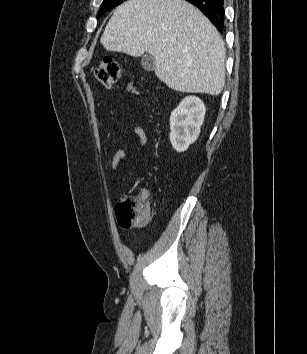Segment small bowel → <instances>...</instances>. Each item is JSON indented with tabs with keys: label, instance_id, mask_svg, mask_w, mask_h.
Masks as SVG:
<instances>
[{
	"label": "small bowel",
	"instance_id": "c3829d8e",
	"mask_svg": "<svg viewBox=\"0 0 307 354\" xmlns=\"http://www.w3.org/2000/svg\"><path fill=\"white\" fill-rule=\"evenodd\" d=\"M132 131L136 136L135 144L138 146H144L148 141V137L145 130L141 126L134 125L132 127ZM128 149H129V144H126L123 148L118 149L114 153L111 160V169L113 171H116L119 168L121 161L127 156ZM139 193L146 194L148 192L147 190L143 189Z\"/></svg>",
	"mask_w": 307,
	"mask_h": 354
}]
</instances>
